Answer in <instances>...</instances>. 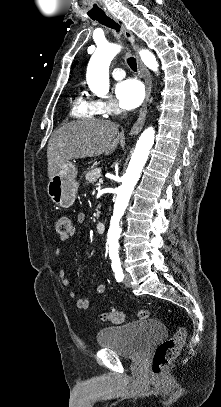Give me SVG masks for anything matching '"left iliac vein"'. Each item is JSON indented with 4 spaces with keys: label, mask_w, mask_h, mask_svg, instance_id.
<instances>
[{
    "label": "left iliac vein",
    "mask_w": 221,
    "mask_h": 407,
    "mask_svg": "<svg viewBox=\"0 0 221 407\" xmlns=\"http://www.w3.org/2000/svg\"><path fill=\"white\" fill-rule=\"evenodd\" d=\"M124 284L126 287H130L131 285V275L129 273H125L124 275Z\"/></svg>",
    "instance_id": "obj_1"
}]
</instances>
